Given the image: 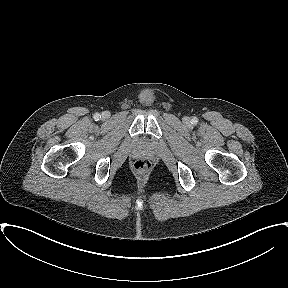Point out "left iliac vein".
<instances>
[{"label":"left iliac vein","instance_id":"left-iliac-vein-1","mask_svg":"<svg viewBox=\"0 0 288 288\" xmlns=\"http://www.w3.org/2000/svg\"><path fill=\"white\" fill-rule=\"evenodd\" d=\"M185 121H186V123H187V122H188V119H186Z\"/></svg>","mask_w":288,"mask_h":288}]
</instances>
